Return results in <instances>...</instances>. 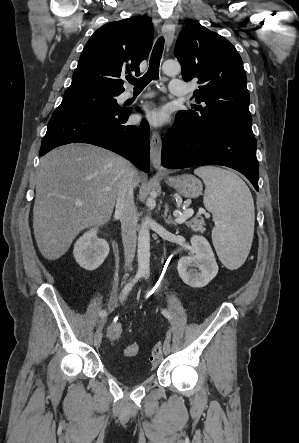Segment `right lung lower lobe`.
Instances as JSON below:
<instances>
[{"instance_id":"98d812e1","label":"right lung lower lobe","mask_w":299,"mask_h":443,"mask_svg":"<svg viewBox=\"0 0 299 443\" xmlns=\"http://www.w3.org/2000/svg\"><path fill=\"white\" fill-rule=\"evenodd\" d=\"M131 109L103 111L90 107L60 105L53 113L42 140L40 156L69 143H89L111 150L150 170L149 126L126 125Z\"/></svg>"}]
</instances>
